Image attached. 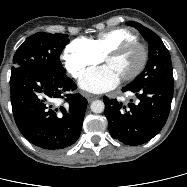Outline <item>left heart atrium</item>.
Returning <instances> with one entry per match:
<instances>
[{
	"label": "left heart atrium",
	"instance_id": "1",
	"mask_svg": "<svg viewBox=\"0 0 187 187\" xmlns=\"http://www.w3.org/2000/svg\"><path fill=\"white\" fill-rule=\"evenodd\" d=\"M121 78L108 65H103L87 75L79 82L80 87L91 93H103L113 89Z\"/></svg>",
	"mask_w": 187,
	"mask_h": 187
}]
</instances>
